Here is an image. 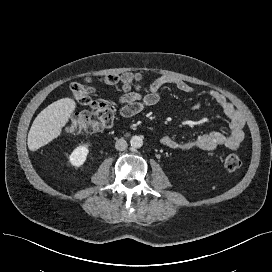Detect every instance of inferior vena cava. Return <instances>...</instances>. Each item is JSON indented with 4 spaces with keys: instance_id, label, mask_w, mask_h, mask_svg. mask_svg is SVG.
I'll return each instance as SVG.
<instances>
[{
    "instance_id": "1",
    "label": "inferior vena cava",
    "mask_w": 272,
    "mask_h": 272,
    "mask_svg": "<svg viewBox=\"0 0 272 272\" xmlns=\"http://www.w3.org/2000/svg\"><path fill=\"white\" fill-rule=\"evenodd\" d=\"M127 146V142L123 138L118 139L115 143V148L119 151H124L125 149H127Z\"/></svg>"
}]
</instances>
